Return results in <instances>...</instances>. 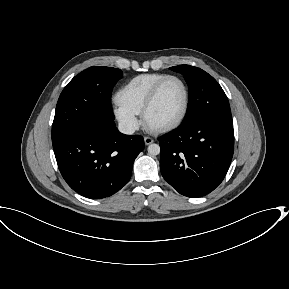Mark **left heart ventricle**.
<instances>
[{
    "instance_id": "1",
    "label": "left heart ventricle",
    "mask_w": 289,
    "mask_h": 289,
    "mask_svg": "<svg viewBox=\"0 0 289 289\" xmlns=\"http://www.w3.org/2000/svg\"><path fill=\"white\" fill-rule=\"evenodd\" d=\"M184 105V90L177 80L166 82L147 116L151 127H160L176 120Z\"/></svg>"
}]
</instances>
